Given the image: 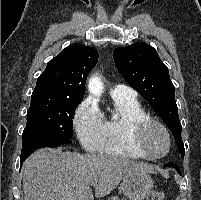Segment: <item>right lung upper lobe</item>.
<instances>
[{"label": "right lung upper lobe", "instance_id": "cb5924a9", "mask_svg": "<svg viewBox=\"0 0 201 200\" xmlns=\"http://www.w3.org/2000/svg\"><path fill=\"white\" fill-rule=\"evenodd\" d=\"M98 61L96 49L75 43L47 63L32 94L83 99L86 78Z\"/></svg>", "mask_w": 201, "mask_h": 200}]
</instances>
